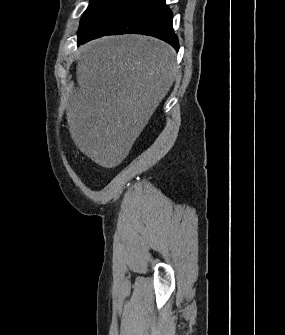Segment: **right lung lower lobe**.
<instances>
[{
  "label": "right lung lower lobe",
  "mask_w": 285,
  "mask_h": 335,
  "mask_svg": "<svg viewBox=\"0 0 285 335\" xmlns=\"http://www.w3.org/2000/svg\"><path fill=\"white\" fill-rule=\"evenodd\" d=\"M165 1L121 0L87 32L78 46L105 35L135 33L159 38L178 51V38L172 27L173 15Z\"/></svg>",
  "instance_id": "right-lung-lower-lobe-1"
}]
</instances>
